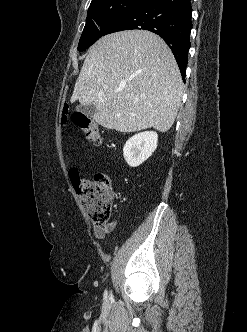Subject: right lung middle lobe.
Returning a JSON list of instances; mask_svg holds the SVG:
<instances>
[{
	"instance_id": "dd1d6c3e",
	"label": "right lung middle lobe",
	"mask_w": 247,
	"mask_h": 332,
	"mask_svg": "<svg viewBox=\"0 0 247 332\" xmlns=\"http://www.w3.org/2000/svg\"><path fill=\"white\" fill-rule=\"evenodd\" d=\"M146 0H99L90 4L86 25L81 35L78 50L84 51L95 43L119 18L129 13Z\"/></svg>"
}]
</instances>
